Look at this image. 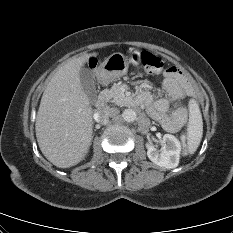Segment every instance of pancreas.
Returning <instances> with one entry per match:
<instances>
[{
  "label": "pancreas",
  "mask_w": 233,
  "mask_h": 233,
  "mask_svg": "<svg viewBox=\"0 0 233 233\" xmlns=\"http://www.w3.org/2000/svg\"><path fill=\"white\" fill-rule=\"evenodd\" d=\"M104 94L112 99L111 101L119 106L130 105V98L126 97L119 84H114L111 89L104 90Z\"/></svg>",
  "instance_id": "obj_1"
}]
</instances>
